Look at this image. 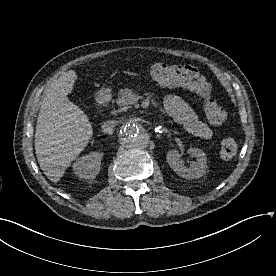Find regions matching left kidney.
<instances>
[{"mask_svg": "<svg viewBox=\"0 0 276 276\" xmlns=\"http://www.w3.org/2000/svg\"><path fill=\"white\" fill-rule=\"evenodd\" d=\"M189 153L196 157V161L192 162L189 168L184 166L180 160L179 151L173 149L167 153V162L173 171L180 177L185 179H197L206 174L207 170V157L205 153L198 148H189Z\"/></svg>", "mask_w": 276, "mask_h": 276, "instance_id": "1", "label": "left kidney"}]
</instances>
